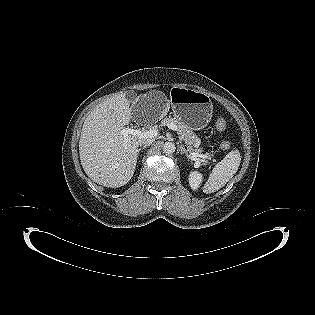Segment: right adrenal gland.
<instances>
[{
  "label": "right adrenal gland",
  "mask_w": 315,
  "mask_h": 315,
  "mask_svg": "<svg viewBox=\"0 0 315 315\" xmlns=\"http://www.w3.org/2000/svg\"><path fill=\"white\" fill-rule=\"evenodd\" d=\"M145 148H146V146L140 147V148L137 150L138 154H139V152H140L141 150H144Z\"/></svg>",
  "instance_id": "obj_1"
}]
</instances>
